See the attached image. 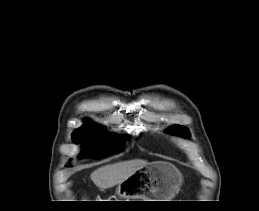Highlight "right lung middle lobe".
<instances>
[{
	"label": "right lung middle lobe",
	"mask_w": 259,
	"mask_h": 211,
	"mask_svg": "<svg viewBox=\"0 0 259 211\" xmlns=\"http://www.w3.org/2000/svg\"><path fill=\"white\" fill-rule=\"evenodd\" d=\"M129 139V137H125ZM76 143H85L81 158H101L123 150V139L116 135H103L101 131L91 125H84L73 133Z\"/></svg>",
	"instance_id": "obj_1"
}]
</instances>
